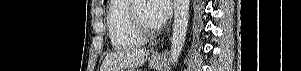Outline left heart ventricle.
I'll return each instance as SVG.
<instances>
[{
    "instance_id": "left-heart-ventricle-1",
    "label": "left heart ventricle",
    "mask_w": 301,
    "mask_h": 71,
    "mask_svg": "<svg viewBox=\"0 0 301 71\" xmlns=\"http://www.w3.org/2000/svg\"><path fill=\"white\" fill-rule=\"evenodd\" d=\"M137 12L141 20L150 27H155L150 17L149 4L146 1L137 3Z\"/></svg>"
}]
</instances>
